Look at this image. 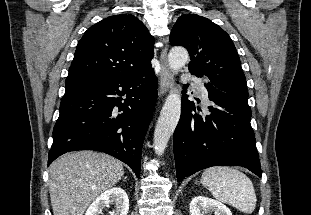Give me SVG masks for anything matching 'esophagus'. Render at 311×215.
Returning <instances> with one entry per match:
<instances>
[{
  "instance_id": "obj_1",
  "label": "esophagus",
  "mask_w": 311,
  "mask_h": 215,
  "mask_svg": "<svg viewBox=\"0 0 311 215\" xmlns=\"http://www.w3.org/2000/svg\"><path fill=\"white\" fill-rule=\"evenodd\" d=\"M167 42L168 39H165L166 45L161 51L160 62H161V71H160V95L165 94L172 85L173 76L169 69L167 63Z\"/></svg>"
}]
</instances>
